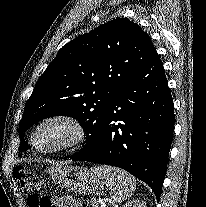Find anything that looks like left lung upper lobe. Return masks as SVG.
I'll use <instances>...</instances> for the list:
<instances>
[{"label":"left lung upper lobe","mask_w":206,"mask_h":207,"mask_svg":"<svg viewBox=\"0 0 206 207\" xmlns=\"http://www.w3.org/2000/svg\"><path fill=\"white\" fill-rule=\"evenodd\" d=\"M156 51L149 35L126 18H117L78 36L59 51L36 83L25 105L19 136L45 118L77 119L90 148L106 110L118 92ZM21 140L19 150H27Z\"/></svg>","instance_id":"left-lung-upper-lobe-1"}]
</instances>
